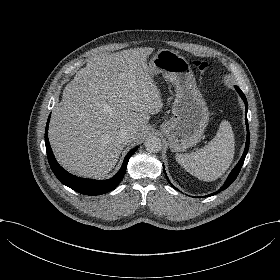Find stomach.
<instances>
[{"mask_svg":"<svg viewBox=\"0 0 280 280\" xmlns=\"http://www.w3.org/2000/svg\"><path fill=\"white\" fill-rule=\"evenodd\" d=\"M149 74H162L176 87L173 117L161 125L172 151L180 152L196 145L209 121L207 105L196 87L187 61L175 51L159 50L148 63Z\"/></svg>","mask_w":280,"mask_h":280,"instance_id":"1","label":"stomach"}]
</instances>
